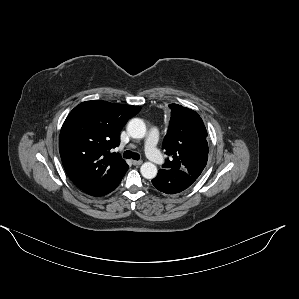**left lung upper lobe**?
<instances>
[{
  "label": "left lung upper lobe",
  "instance_id": "obj_1",
  "mask_svg": "<svg viewBox=\"0 0 299 299\" xmlns=\"http://www.w3.org/2000/svg\"><path fill=\"white\" fill-rule=\"evenodd\" d=\"M169 107L171 120L162 147L171 158L162 167L180 169L195 181L208 160L206 128L195 111L178 104Z\"/></svg>",
  "mask_w": 299,
  "mask_h": 299
}]
</instances>
